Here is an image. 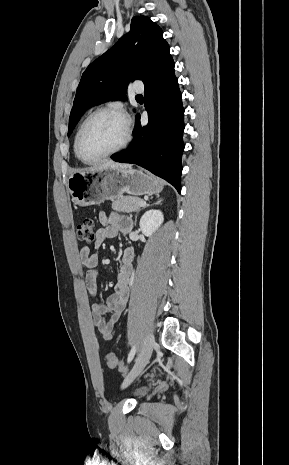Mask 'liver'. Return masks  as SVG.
<instances>
[{
	"label": "liver",
	"instance_id": "1",
	"mask_svg": "<svg viewBox=\"0 0 289 465\" xmlns=\"http://www.w3.org/2000/svg\"><path fill=\"white\" fill-rule=\"evenodd\" d=\"M106 168H112V169H124V168H131V164H125V163H116L111 160L104 161L100 165L91 167L87 169V171H92V170H98V169H106Z\"/></svg>",
	"mask_w": 289,
	"mask_h": 465
}]
</instances>
